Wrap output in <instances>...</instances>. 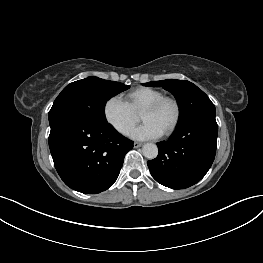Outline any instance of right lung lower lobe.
<instances>
[{
  "label": "right lung lower lobe",
  "instance_id": "1",
  "mask_svg": "<svg viewBox=\"0 0 263 263\" xmlns=\"http://www.w3.org/2000/svg\"><path fill=\"white\" fill-rule=\"evenodd\" d=\"M49 147L55 168L70 188L87 194L107 190L116 181L133 142L109 123L64 117L50 125Z\"/></svg>",
  "mask_w": 263,
  "mask_h": 263
}]
</instances>
